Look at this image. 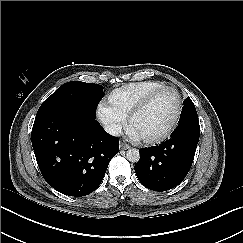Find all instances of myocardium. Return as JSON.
<instances>
[{
	"instance_id": "obj_1",
	"label": "myocardium",
	"mask_w": 243,
	"mask_h": 243,
	"mask_svg": "<svg viewBox=\"0 0 243 243\" xmlns=\"http://www.w3.org/2000/svg\"><path fill=\"white\" fill-rule=\"evenodd\" d=\"M168 92H173L175 93L176 97H177V104H176V108H175V112L174 115L170 121V123L168 124V126L158 135L156 136H146L142 133H140L139 131H137L134 127V121L137 118V116L141 113V111L155 98H157L158 96L164 94V93H168ZM181 113H182V96L180 94V92L174 88V87H165L151 95H149L148 97H146L145 99H143L139 104H137V106L131 111L129 118H128V124L130 128L135 129L140 136L142 137V139L147 142V143H157L160 142L162 140H164L166 137H168V135L173 131V129L176 127V125L178 124L180 117H181Z\"/></svg>"
}]
</instances>
